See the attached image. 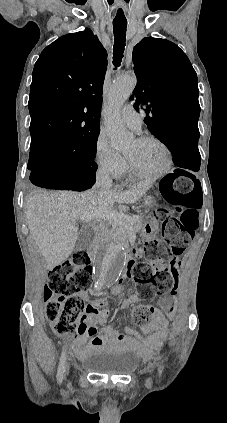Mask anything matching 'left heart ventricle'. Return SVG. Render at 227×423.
I'll list each match as a JSON object with an SVG mask.
<instances>
[{
	"mask_svg": "<svg viewBox=\"0 0 227 423\" xmlns=\"http://www.w3.org/2000/svg\"><path fill=\"white\" fill-rule=\"evenodd\" d=\"M126 155L143 173H156L166 162L165 151L155 142L139 143L135 140L128 148Z\"/></svg>",
	"mask_w": 227,
	"mask_h": 423,
	"instance_id": "left-heart-ventricle-1",
	"label": "left heart ventricle"
}]
</instances>
